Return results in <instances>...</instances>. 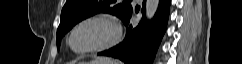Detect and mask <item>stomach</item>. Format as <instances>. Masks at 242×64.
I'll return each mask as SVG.
<instances>
[{
  "label": "stomach",
  "mask_w": 242,
  "mask_h": 64,
  "mask_svg": "<svg viewBox=\"0 0 242 64\" xmlns=\"http://www.w3.org/2000/svg\"><path fill=\"white\" fill-rule=\"evenodd\" d=\"M101 59V58H99ZM82 64H111V63H106V62H101L100 60H97V61H92L90 63H82Z\"/></svg>",
  "instance_id": "stomach-1"
}]
</instances>
